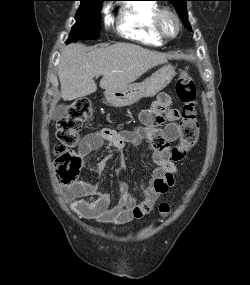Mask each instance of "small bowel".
Returning a JSON list of instances; mask_svg holds the SVG:
<instances>
[{"mask_svg":"<svg viewBox=\"0 0 250 285\" xmlns=\"http://www.w3.org/2000/svg\"><path fill=\"white\" fill-rule=\"evenodd\" d=\"M169 104V98L161 94L155 101L153 108L145 110L141 114L142 126L131 130L117 131L110 128H103L87 134L79 145L80 154L88 156L100 149L104 143H110L117 150L123 151L126 145L139 146L147 141L149 147L154 151V168L149 174L148 181L143 183V199L138 201L133 197L125 183L119 184V201L111 205V197L108 193L100 190V184L86 181H77L63 186V193L71 201L73 211L85 219H95L103 223L121 224L132 219H141L153 210L160 195L167 192L175 183V176L178 173L176 161L183 158L184 154H177L167 159L162 155L163 149L167 148L170 142L180 136V126L176 122L177 113L169 111L166 115L161 113ZM168 120L164 129L160 125ZM108 161V157L101 160L97 166V173L100 175ZM125 169V157L121 155L118 171ZM95 196L92 201L85 198Z\"/></svg>","mask_w":250,"mask_h":285,"instance_id":"obj_1","label":"small bowel"}]
</instances>
